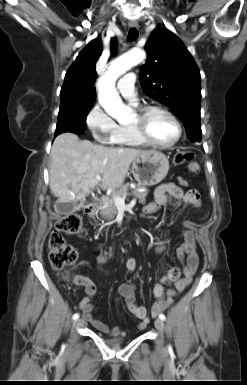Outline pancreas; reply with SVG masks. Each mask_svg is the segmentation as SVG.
<instances>
[{
    "label": "pancreas",
    "instance_id": "cf45deb5",
    "mask_svg": "<svg viewBox=\"0 0 247 385\" xmlns=\"http://www.w3.org/2000/svg\"><path fill=\"white\" fill-rule=\"evenodd\" d=\"M139 188H143V186H138ZM130 186L129 185H124L121 187L119 190L115 191L113 193V196H118L121 198H126V196H135L138 198L139 203L144 204L146 202V196L148 192L146 190L144 191H139V190H131L129 191ZM118 212L117 206L114 203L113 198H104L102 199V207L100 211V215L106 219V220H112Z\"/></svg>",
    "mask_w": 247,
    "mask_h": 385
}]
</instances>
